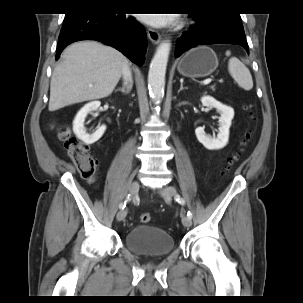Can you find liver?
<instances>
[{"label": "liver", "mask_w": 303, "mask_h": 303, "mask_svg": "<svg viewBox=\"0 0 303 303\" xmlns=\"http://www.w3.org/2000/svg\"><path fill=\"white\" fill-rule=\"evenodd\" d=\"M126 64L125 56L112 47L95 41L71 44L52 74L49 111L109 96Z\"/></svg>", "instance_id": "6515ba94"}]
</instances>
